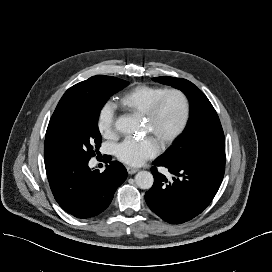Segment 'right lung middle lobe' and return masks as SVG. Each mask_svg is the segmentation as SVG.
Returning a JSON list of instances; mask_svg holds the SVG:
<instances>
[{
    "label": "right lung middle lobe",
    "mask_w": 272,
    "mask_h": 272,
    "mask_svg": "<svg viewBox=\"0 0 272 272\" xmlns=\"http://www.w3.org/2000/svg\"><path fill=\"white\" fill-rule=\"evenodd\" d=\"M127 81L102 76L93 90L81 100L53 114L45 137V159L90 160L101 146L99 113L109 97Z\"/></svg>",
    "instance_id": "dd1d6c3e"
}]
</instances>
